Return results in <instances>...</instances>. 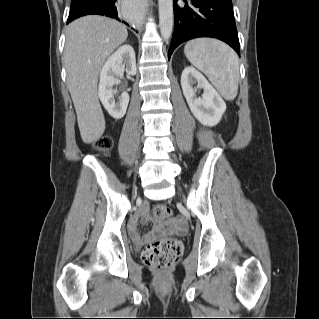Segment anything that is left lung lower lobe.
<instances>
[{"mask_svg": "<svg viewBox=\"0 0 319 319\" xmlns=\"http://www.w3.org/2000/svg\"><path fill=\"white\" fill-rule=\"evenodd\" d=\"M173 10L174 32L168 51L169 59L178 45L197 37L222 40L240 56L231 0H188L184 6L174 0Z\"/></svg>", "mask_w": 319, "mask_h": 319, "instance_id": "0a47b994", "label": "left lung lower lobe"}]
</instances>
